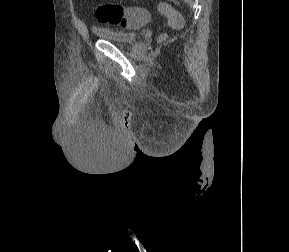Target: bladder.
Wrapping results in <instances>:
<instances>
[{"instance_id":"31cf9c89","label":"bladder","mask_w":289,"mask_h":252,"mask_svg":"<svg viewBox=\"0 0 289 252\" xmlns=\"http://www.w3.org/2000/svg\"><path fill=\"white\" fill-rule=\"evenodd\" d=\"M94 34L99 39L122 45H132L136 43L139 38V34L137 32L119 31L107 28H96L94 29Z\"/></svg>"}]
</instances>
